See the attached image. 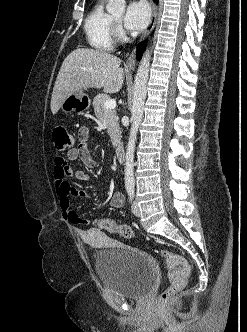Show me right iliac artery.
Instances as JSON below:
<instances>
[{"mask_svg": "<svg viewBox=\"0 0 247 332\" xmlns=\"http://www.w3.org/2000/svg\"><path fill=\"white\" fill-rule=\"evenodd\" d=\"M128 196H129V200L132 201L134 198V192L133 191H128Z\"/></svg>", "mask_w": 247, "mask_h": 332, "instance_id": "1", "label": "right iliac artery"}]
</instances>
